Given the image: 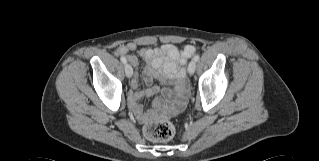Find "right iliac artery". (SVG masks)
I'll return each mask as SVG.
<instances>
[{
  "instance_id": "1",
  "label": "right iliac artery",
  "mask_w": 319,
  "mask_h": 161,
  "mask_svg": "<svg viewBox=\"0 0 319 161\" xmlns=\"http://www.w3.org/2000/svg\"><path fill=\"white\" fill-rule=\"evenodd\" d=\"M120 60H121V62H122L123 64H126V62H127V60H126L125 57H121Z\"/></svg>"
}]
</instances>
